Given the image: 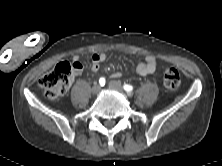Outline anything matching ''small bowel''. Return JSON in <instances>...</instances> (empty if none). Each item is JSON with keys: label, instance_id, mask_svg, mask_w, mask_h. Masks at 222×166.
Instances as JSON below:
<instances>
[{"label": "small bowel", "instance_id": "obj_1", "mask_svg": "<svg viewBox=\"0 0 222 166\" xmlns=\"http://www.w3.org/2000/svg\"><path fill=\"white\" fill-rule=\"evenodd\" d=\"M107 59V55L103 52H95L91 56L92 64L91 69L93 72H98L103 62ZM73 63H80L79 58L75 56ZM81 64V63H80ZM157 61L153 56H146L143 61L139 62L136 66V73L140 76H146L149 74L157 73ZM82 68L75 71L76 74L80 73ZM121 76V72H115L113 77L117 78Z\"/></svg>", "mask_w": 222, "mask_h": 166}]
</instances>
